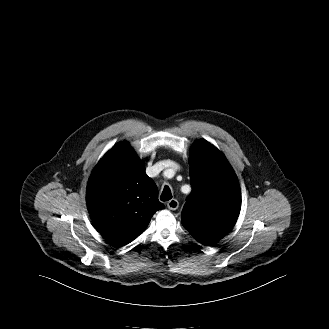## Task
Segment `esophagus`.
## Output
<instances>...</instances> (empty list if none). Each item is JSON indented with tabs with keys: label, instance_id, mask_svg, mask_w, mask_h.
<instances>
[{
	"label": "esophagus",
	"instance_id": "1",
	"mask_svg": "<svg viewBox=\"0 0 329 329\" xmlns=\"http://www.w3.org/2000/svg\"><path fill=\"white\" fill-rule=\"evenodd\" d=\"M167 207L170 210H176L179 207V202L176 199H172L167 203Z\"/></svg>",
	"mask_w": 329,
	"mask_h": 329
}]
</instances>
